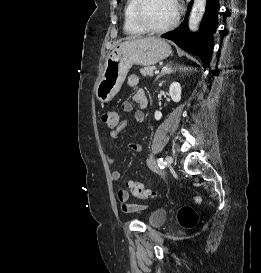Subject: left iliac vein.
<instances>
[{"label": "left iliac vein", "mask_w": 261, "mask_h": 273, "mask_svg": "<svg viewBox=\"0 0 261 273\" xmlns=\"http://www.w3.org/2000/svg\"><path fill=\"white\" fill-rule=\"evenodd\" d=\"M165 161H166V163H167L168 165H171L172 162H173V159H172V157H170V156H166V157H165Z\"/></svg>", "instance_id": "4c4485c4"}]
</instances>
